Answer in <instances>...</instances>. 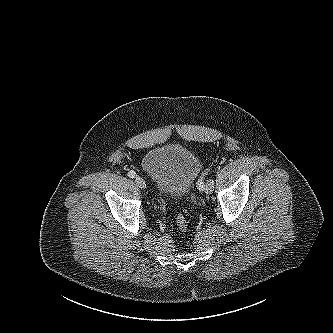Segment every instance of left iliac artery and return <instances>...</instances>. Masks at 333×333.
Returning a JSON list of instances; mask_svg holds the SVG:
<instances>
[{
	"label": "left iliac artery",
	"mask_w": 333,
	"mask_h": 333,
	"mask_svg": "<svg viewBox=\"0 0 333 333\" xmlns=\"http://www.w3.org/2000/svg\"><path fill=\"white\" fill-rule=\"evenodd\" d=\"M208 173V169L207 171H205V173L202 174V176L200 177V179L198 180L197 183V187L200 191H203L205 189V184H204V176Z\"/></svg>",
	"instance_id": "obj_1"
}]
</instances>
